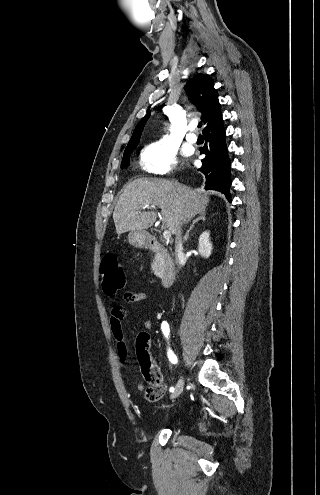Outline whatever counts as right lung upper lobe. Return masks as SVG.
I'll use <instances>...</instances> for the list:
<instances>
[{
	"instance_id": "1",
	"label": "right lung upper lobe",
	"mask_w": 320,
	"mask_h": 495,
	"mask_svg": "<svg viewBox=\"0 0 320 495\" xmlns=\"http://www.w3.org/2000/svg\"><path fill=\"white\" fill-rule=\"evenodd\" d=\"M185 90L198 111L202 113L201 119L205 125L203 131L223 120L218 93L214 88V81L211 77L198 73L188 81ZM149 116L150 113L139 121L125 150L134 148L138 145L143 127Z\"/></svg>"
}]
</instances>
